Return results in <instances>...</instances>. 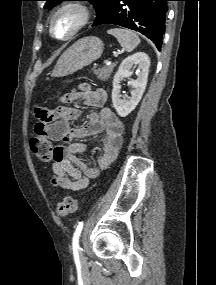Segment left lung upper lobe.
Here are the masks:
<instances>
[{"mask_svg": "<svg viewBox=\"0 0 216 285\" xmlns=\"http://www.w3.org/2000/svg\"><path fill=\"white\" fill-rule=\"evenodd\" d=\"M43 1H46L44 8L50 9L56 6L59 2L68 1V0H43ZM83 1H89L94 5L96 12H97V17L95 20L96 22L105 15V13L109 10L114 0H83Z\"/></svg>", "mask_w": 216, "mask_h": 285, "instance_id": "1", "label": "left lung upper lobe"}]
</instances>
